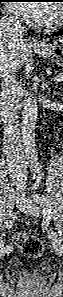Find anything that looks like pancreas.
I'll return each instance as SVG.
<instances>
[{
	"instance_id": "obj_1",
	"label": "pancreas",
	"mask_w": 63,
	"mask_h": 297,
	"mask_svg": "<svg viewBox=\"0 0 63 297\" xmlns=\"http://www.w3.org/2000/svg\"><path fill=\"white\" fill-rule=\"evenodd\" d=\"M58 75H59V76H63L62 73H59Z\"/></svg>"
}]
</instances>
